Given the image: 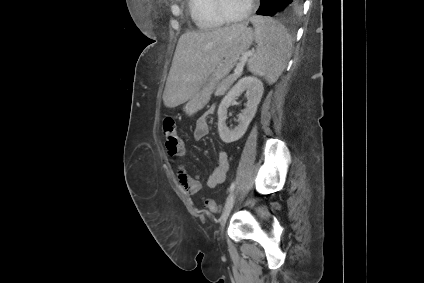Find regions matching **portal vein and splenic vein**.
<instances>
[{"mask_svg": "<svg viewBox=\"0 0 424 283\" xmlns=\"http://www.w3.org/2000/svg\"><path fill=\"white\" fill-rule=\"evenodd\" d=\"M253 55V53L252 52H247V53H245L243 56H242V62L243 61H245V60H247L248 59V57H250V56H252ZM242 68H243V66H242V64L240 63L235 69H234V74L235 75H238V74H240L241 72H242Z\"/></svg>", "mask_w": 424, "mask_h": 283, "instance_id": "1", "label": "portal vein and splenic vein"}]
</instances>
